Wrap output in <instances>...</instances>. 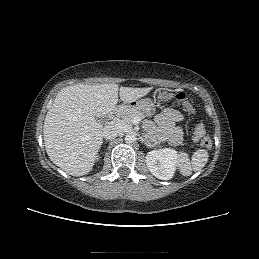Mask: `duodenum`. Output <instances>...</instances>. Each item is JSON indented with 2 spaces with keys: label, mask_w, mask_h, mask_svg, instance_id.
Masks as SVG:
<instances>
[{
  "label": "duodenum",
  "mask_w": 259,
  "mask_h": 259,
  "mask_svg": "<svg viewBox=\"0 0 259 259\" xmlns=\"http://www.w3.org/2000/svg\"><path fill=\"white\" fill-rule=\"evenodd\" d=\"M121 109V106L114 108L108 116L109 121H113L116 117L117 112Z\"/></svg>",
  "instance_id": "duodenum-1"
}]
</instances>
